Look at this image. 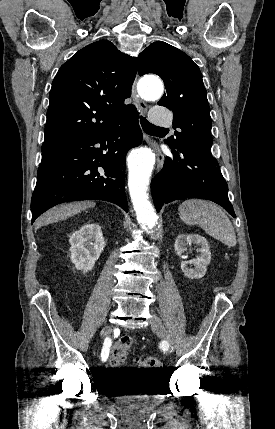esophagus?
Segmentation results:
<instances>
[{
	"mask_svg": "<svg viewBox=\"0 0 275 429\" xmlns=\"http://www.w3.org/2000/svg\"><path fill=\"white\" fill-rule=\"evenodd\" d=\"M132 98L134 103L136 104L139 111L145 113L148 109V105L139 97L136 91V82H134L132 86ZM151 145L155 149L156 155H157V168L160 170L164 163V155L161 152V150L156 146L155 143L151 142Z\"/></svg>",
	"mask_w": 275,
	"mask_h": 429,
	"instance_id": "1",
	"label": "esophagus"
}]
</instances>
